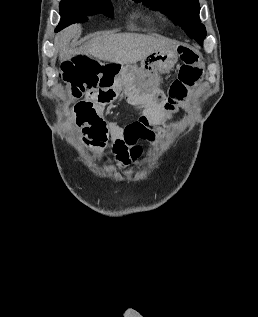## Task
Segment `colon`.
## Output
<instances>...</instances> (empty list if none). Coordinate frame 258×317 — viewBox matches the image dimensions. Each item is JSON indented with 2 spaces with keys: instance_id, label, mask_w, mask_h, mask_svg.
<instances>
[{
  "instance_id": "colon-1",
  "label": "colon",
  "mask_w": 258,
  "mask_h": 317,
  "mask_svg": "<svg viewBox=\"0 0 258 317\" xmlns=\"http://www.w3.org/2000/svg\"><path fill=\"white\" fill-rule=\"evenodd\" d=\"M182 66L178 78L173 82L166 109L176 113L180 103L187 96L188 89L194 86L202 77L204 66L197 50L183 47L180 50ZM121 72V66L113 62H101L93 56L90 50L74 54L62 65L61 79L68 85L70 94L80 99L86 91L113 81ZM127 96L134 102H139V89L128 88Z\"/></svg>"
}]
</instances>
